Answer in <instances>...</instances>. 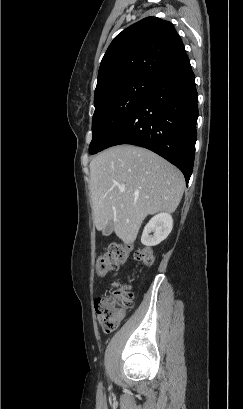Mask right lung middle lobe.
Listing matches in <instances>:
<instances>
[{
	"label": "right lung middle lobe",
	"instance_id": "right-lung-middle-lobe-1",
	"mask_svg": "<svg viewBox=\"0 0 243 409\" xmlns=\"http://www.w3.org/2000/svg\"><path fill=\"white\" fill-rule=\"evenodd\" d=\"M156 82L148 78H134L113 86L94 101L90 154L105 149L111 135L132 114Z\"/></svg>",
	"mask_w": 243,
	"mask_h": 409
}]
</instances>
